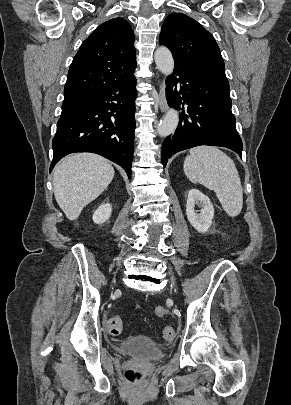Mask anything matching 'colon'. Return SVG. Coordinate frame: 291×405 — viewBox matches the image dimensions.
I'll list each match as a JSON object with an SVG mask.
<instances>
[{
	"label": "colon",
	"mask_w": 291,
	"mask_h": 405,
	"mask_svg": "<svg viewBox=\"0 0 291 405\" xmlns=\"http://www.w3.org/2000/svg\"><path fill=\"white\" fill-rule=\"evenodd\" d=\"M157 316L164 317L168 315L165 308L158 306L155 310ZM122 318L119 315H115L108 320V330L111 335L118 336L122 332ZM163 338L171 342L176 338V331L173 327L167 326L163 329ZM125 379L131 383L139 382L143 377V372L138 368H129L124 373Z\"/></svg>",
	"instance_id": "5ec220e1"
}]
</instances>
